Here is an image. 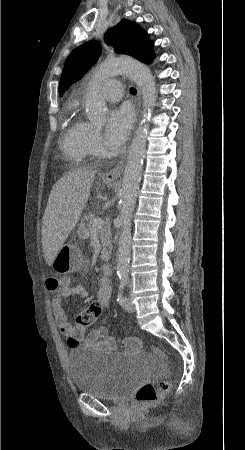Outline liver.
<instances>
[{"label":"liver","instance_id":"1","mask_svg":"<svg viewBox=\"0 0 245 450\" xmlns=\"http://www.w3.org/2000/svg\"><path fill=\"white\" fill-rule=\"evenodd\" d=\"M95 174L93 168L73 169L54 184L42 220V247L49 266L79 221Z\"/></svg>","mask_w":245,"mask_h":450}]
</instances>
